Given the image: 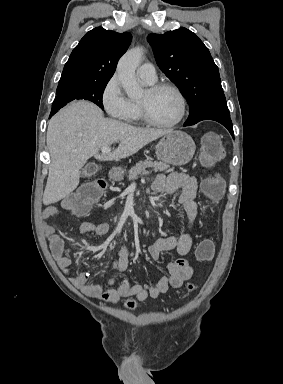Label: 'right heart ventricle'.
<instances>
[{"mask_svg": "<svg viewBox=\"0 0 283 384\" xmlns=\"http://www.w3.org/2000/svg\"><path fill=\"white\" fill-rule=\"evenodd\" d=\"M132 106V112L130 117V122L136 123L141 120L140 113H139V106L138 103L135 101H131Z\"/></svg>", "mask_w": 283, "mask_h": 384, "instance_id": "e07e8e85", "label": "right heart ventricle"}]
</instances>
